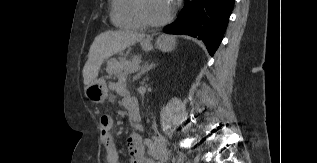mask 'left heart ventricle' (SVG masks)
Returning <instances> with one entry per match:
<instances>
[{
    "label": "left heart ventricle",
    "mask_w": 317,
    "mask_h": 163,
    "mask_svg": "<svg viewBox=\"0 0 317 163\" xmlns=\"http://www.w3.org/2000/svg\"><path fill=\"white\" fill-rule=\"evenodd\" d=\"M145 8L149 17L158 21L170 13L172 4L168 0H145Z\"/></svg>",
    "instance_id": "obj_1"
}]
</instances>
